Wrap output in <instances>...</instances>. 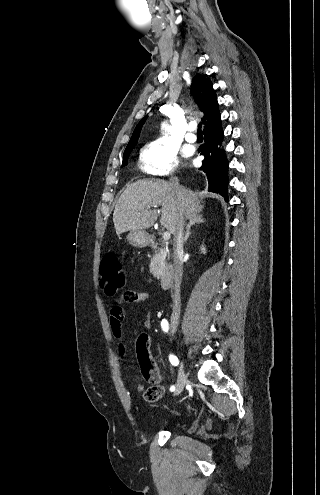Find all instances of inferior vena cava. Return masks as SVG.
Here are the masks:
<instances>
[{"mask_svg": "<svg viewBox=\"0 0 320 495\" xmlns=\"http://www.w3.org/2000/svg\"><path fill=\"white\" fill-rule=\"evenodd\" d=\"M173 189L179 192L180 186L177 177H173L170 180ZM184 231V218L180 211L179 219L177 222V227L174 232V295H173V311H172V327L173 329L178 325L181 311V300H180V286L182 282V261L181 257L183 255V232Z\"/></svg>", "mask_w": 320, "mask_h": 495, "instance_id": "602c4592", "label": "inferior vena cava"}]
</instances>
